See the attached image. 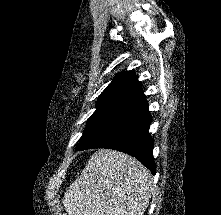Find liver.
Listing matches in <instances>:
<instances>
[{"label": "liver", "mask_w": 221, "mask_h": 215, "mask_svg": "<svg viewBox=\"0 0 221 215\" xmlns=\"http://www.w3.org/2000/svg\"><path fill=\"white\" fill-rule=\"evenodd\" d=\"M151 191V174L138 160L99 149L65 192L63 205L68 215H143Z\"/></svg>", "instance_id": "6515ba94"}]
</instances>
